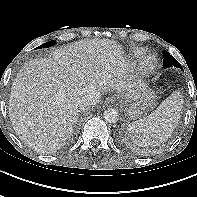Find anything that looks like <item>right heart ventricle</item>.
Instances as JSON below:
<instances>
[{
    "mask_svg": "<svg viewBox=\"0 0 197 197\" xmlns=\"http://www.w3.org/2000/svg\"><path fill=\"white\" fill-rule=\"evenodd\" d=\"M147 54V51L143 48H137L132 51V57L136 60L142 59Z\"/></svg>",
    "mask_w": 197,
    "mask_h": 197,
    "instance_id": "right-heart-ventricle-1",
    "label": "right heart ventricle"
}]
</instances>
